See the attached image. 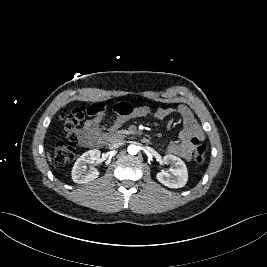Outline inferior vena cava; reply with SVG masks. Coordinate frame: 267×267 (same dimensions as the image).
<instances>
[{
    "mask_svg": "<svg viewBox=\"0 0 267 267\" xmlns=\"http://www.w3.org/2000/svg\"><path fill=\"white\" fill-rule=\"evenodd\" d=\"M123 144H124V140H122V139H113L109 143V148L110 149H116V148H119L120 146H122Z\"/></svg>",
    "mask_w": 267,
    "mask_h": 267,
    "instance_id": "obj_1",
    "label": "inferior vena cava"
}]
</instances>
